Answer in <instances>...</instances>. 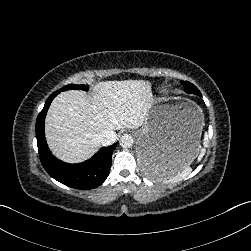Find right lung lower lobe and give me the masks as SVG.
<instances>
[{"label":"right lung lower lobe","instance_id":"98d812e1","mask_svg":"<svg viewBox=\"0 0 251 251\" xmlns=\"http://www.w3.org/2000/svg\"><path fill=\"white\" fill-rule=\"evenodd\" d=\"M52 93L45 102L36 121V137L41 163L48 174L60 183L76 189H93L100 186L107 178L111 157L117 143L101 148L89 160L79 164L64 163L50 152L44 133V121L52 100L58 95Z\"/></svg>","mask_w":251,"mask_h":251}]
</instances>
